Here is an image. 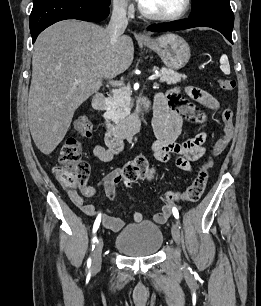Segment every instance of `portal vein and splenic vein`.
<instances>
[{
  "label": "portal vein and splenic vein",
  "mask_w": 261,
  "mask_h": 306,
  "mask_svg": "<svg viewBox=\"0 0 261 306\" xmlns=\"http://www.w3.org/2000/svg\"><path fill=\"white\" fill-rule=\"evenodd\" d=\"M158 77H159V74L156 73V74H153V75L149 76L148 80H155ZM79 81H80V79L75 80V82H79ZM109 83L113 86H122L123 85V83L119 82V81H110Z\"/></svg>",
  "instance_id": "obj_1"
}]
</instances>
